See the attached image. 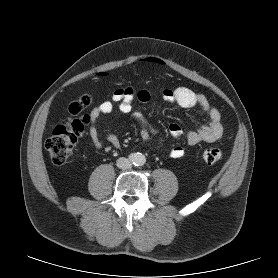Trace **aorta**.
I'll list each match as a JSON object with an SVG mask.
<instances>
[{"label": "aorta", "instance_id": "aorta-1", "mask_svg": "<svg viewBox=\"0 0 278 278\" xmlns=\"http://www.w3.org/2000/svg\"><path fill=\"white\" fill-rule=\"evenodd\" d=\"M146 162V157L142 153H135L132 156V163L135 166H142Z\"/></svg>", "mask_w": 278, "mask_h": 278}]
</instances>
